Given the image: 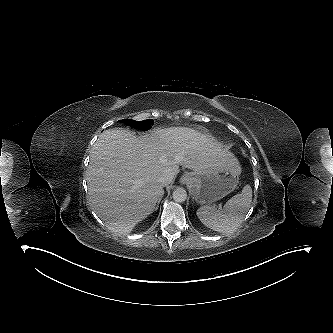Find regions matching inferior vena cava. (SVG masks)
Segmentation results:
<instances>
[{
	"label": "inferior vena cava",
	"mask_w": 333,
	"mask_h": 333,
	"mask_svg": "<svg viewBox=\"0 0 333 333\" xmlns=\"http://www.w3.org/2000/svg\"><path fill=\"white\" fill-rule=\"evenodd\" d=\"M173 180V174L169 170H164L158 177V182L162 186L170 184Z\"/></svg>",
	"instance_id": "inferior-vena-cava-1"
}]
</instances>
